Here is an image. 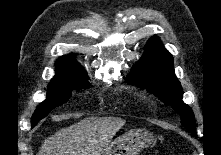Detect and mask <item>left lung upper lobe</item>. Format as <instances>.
Returning <instances> with one entry per match:
<instances>
[{"label": "left lung upper lobe", "mask_w": 221, "mask_h": 155, "mask_svg": "<svg viewBox=\"0 0 221 155\" xmlns=\"http://www.w3.org/2000/svg\"><path fill=\"white\" fill-rule=\"evenodd\" d=\"M145 49L127 78L141 88H148L166 105H171L180 114L182 125L195 135L194 114L182 101V87L174 74L172 55L156 36L148 40Z\"/></svg>", "instance_id": "1"}]
</instances>
